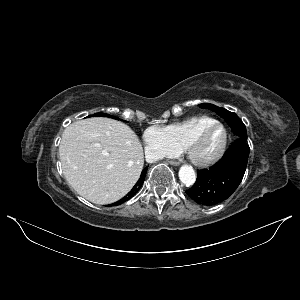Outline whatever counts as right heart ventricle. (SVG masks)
I'll list each match as a JSON object with an SVG mask.
<instances>
[{
  "label": "right heart ventricle",
  "mask_w": 300,
  "mask_h": 300,
  "mask_svg": "<svg viewBox=\"0 0 300 300\" xmlns=\"http://www.w3.org/2000/svg\"><path fill=\"white\" fill-rule=\"evenodd\" d=\"M216 120L209 116H193L162 127L171 144L178 150H184L187 143L203 128Z\"/></svg>",
  "instance_id": "right-heart-ventricle-1"
}]
</instances>
